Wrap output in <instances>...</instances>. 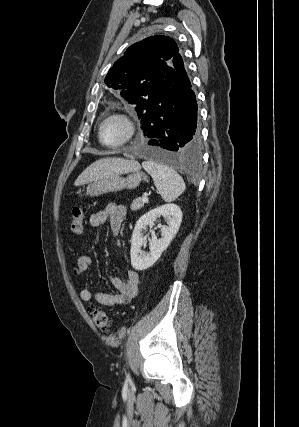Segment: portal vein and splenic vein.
Returning <instances> with one entry per match:
<instances>
[{
	"mask_svg": "<svg viewBox=\"0 0 299 427\" xmlns=\"http://www.w3.org/2000/svg\"><path fill=\"white\" fill-rule=\"evenodd\" d=\"M142 201L143 202H148V197L147 196H143Z\"/></svg>",
	"mask_w": 299,
	"mask_h": 427,
	"instance_id": "18ae733b",
	"label": "portal vein and splenic vein"
}]
</instances>
